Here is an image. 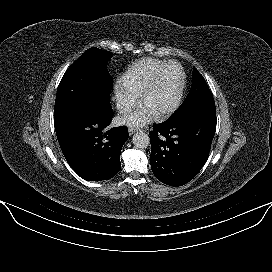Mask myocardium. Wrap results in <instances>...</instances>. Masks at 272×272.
<instances>
[{
  "label": "myocardium",
  "instance_id": "myocardium-1",
  "mask_svg": "<svg viewBox=\"0 0 272 272\" xmlns=\"http://www.w3.org/2000/svg\"><path fill=\"white\" fill-rule=\"evenodd\" d=\"M172 66H176V67H178L180 69V72H181L180 85H179V88H178V92H177V96L175 98V101L168 108L158 112L156 114V116L158 118H165V117L173 114L181 105V102H182V99H183V96H184L185 87H186V73H185L183 67L181 66V64H179L178 62H174V61L168 62L165 66H163L158 71V73L155 75V77L152 79V81L144 88V90L141 93V101L143 103H145L148 96L153 92V90L160 83V81H161L163 75L165 74V72Z\"/></svg>",
  "mask_w": 272,
  "mask_h": 272
}]
</instances>
